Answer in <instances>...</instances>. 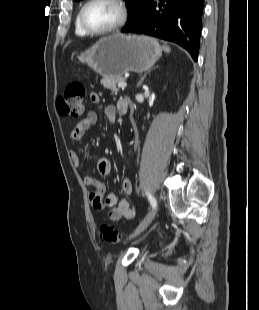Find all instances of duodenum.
Listing matches in <instances>:
<instances>
[{
    "label": "duodenum",
    "instance_id": "obj_1",
    "mask_svg": "<svg viewBox=\"0 0 259 310\" xmlns=\"http://www.w3.org/2000/svg\"><path fill=\"white\" fill-rule=\"evenodd\" d=\"M128 110V101L126 99L122 100L118 106V112L120 114H125Z\"/></svg>",
    "mask_w": 259,
    "mask_h": 310
}]
</instances>
